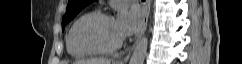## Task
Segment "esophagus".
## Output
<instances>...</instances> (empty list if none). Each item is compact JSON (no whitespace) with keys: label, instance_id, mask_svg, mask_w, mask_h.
Segmentation results:
<instances>
[{"label":"esophagus","instance_id":"esophagus-1","mask_svg":"<svg viewBox=\"0 0 242 64\" xmlns=\"http://www.w3.org/2000/svg\"><path fill=\"white\" fill-rule=\"evenodd\" d=\"M149 13H150V0H145L144 4H143V26L142 29L140 31V33L137 36V40L136 43L133 45V47L129 50L127 56L120 62L121 64H124L128 61L131 52L133 51L135 45L138 43L139 39L142 37V35L144 34L146 27H147V23H148V17H149Z\"/></svg>","mask_w":242,"mask_h":64}]
</instances>
